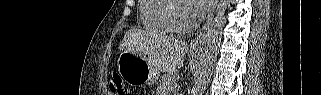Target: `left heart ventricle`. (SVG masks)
I'll return each mask as SVG.
<instances>
[{
	"label": "left heart ventricle",
	"instance_id": "obj_1",
	"mask_svg": "<svg viewBox=\"0 0 321 95\" xmlns=\"http://www.w3.org/2000/svg\"><path fill=\"white\" fill-rule=\"evenodd\" d=\"M178 18L183 23H188L192 17L187 13V10L184 7L178 9Z\"/></svg>",
	"mask_w": 321,
	"mask_h": 95
}]
</instances>
